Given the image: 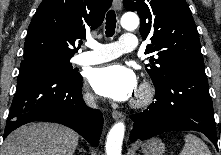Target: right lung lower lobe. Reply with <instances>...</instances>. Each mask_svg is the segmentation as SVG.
I'll return each instance as SVG.
<instances>
[{
    "label": "right lung lower lobe",
    "mask_w": 221,
    "mask_h": 155,
    "mask_svg": "<svg viewBox=\"0 0 221 155\" xmlns=\"http://www.w3.org/2000/svg\"><path fill=\"white\" fill-rule=\"evenodd\" d=\"M81 91L82 76L67 79L42 65L20 67L4 138L23 124L48 121L68 126L98 146L103 115L84 103Z\"/></svg>",
    "instance_id": "right-lung-lower-lobe-1"
}]
</instances>
